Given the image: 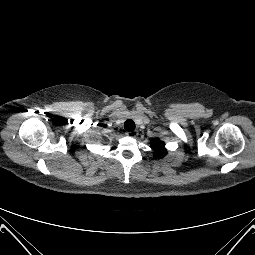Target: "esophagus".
Listing matches in <instances>:
<instances>
[{
  "label": "esophagus",
  "mask_w": 255,
  "mask_h": 255,
  "mask_svg": "<svg viewBox=\"0 0 255 255\" xmlns=\"http://www.w3.org/2000/svg\"><path fill=\"white\" fill-rule=\"evenodd\" d=\"M128 137L135 138L138 135L137 131H129L126 133Z\"/></svg>",
  "instance_id": "34e87169"
}]
</instances>
